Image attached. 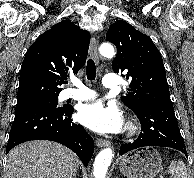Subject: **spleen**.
Wrapping results in <instances>:
<instances>
[{
    "label": "spleen",
    "mask_w": 194,
    "mask_h": 178,
    "mask_svg": "<svg viewBox=\"0 0 194 178\" xmlns=\"http://www.w3.org/2000/svg\"><path fill=\"white\" fill-rule=\"evenodd\" d=\"M168 173L171 175V178H188L187 177V168L185 163L182 160H173L171 161Z\"/></svg>",
    "instance_id": "3e777b00"
}]
</instances>
